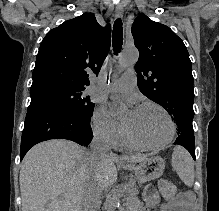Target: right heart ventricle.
Returning a JSON list of instances; mask_svg holds the SVG:
<instances>
[{"label": "right heart ventricle", "instance_id": "right-heart-ventricle-1", "mask_svg": "<svg viewBox=\"0 0 219 211\" xmlns=\"http://www.w3.org/2000/svg\"><path fill=\"white\" fill-rule=\"evenodd\" d=\"M122 144H123L124 146L131 147V144L128 142L127 139H123V140H122Z\"/></svg>", "mask_w": 219, "mask_h": 211}]
</instances>
